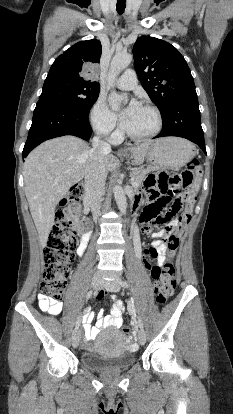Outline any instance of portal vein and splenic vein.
<instances>
[{
	"mask_svg": "<svg viewBox=\"0 0 233 414\" xmlns=\"http://www.w3.org/2000/svg\"><path fill=\"white\" fill-rule=\"evenodd\" d=\"M133 179L131 178V181H132ZM132 184V186H135V183H131Z\"/></svg>",
	"mask_w": 233,
	"mask_h": 414,
	"instance_id": "portal-vein-and-splenic-vein-1",
	"label": "portal vein and splenic vein"
}]
</instances>
